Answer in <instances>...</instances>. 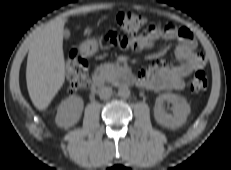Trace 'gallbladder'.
Returning <instances> with one entry per match:
<instances>
[{
	"instance_id": "obj_1",
	"label": "gallbladder",
	"mask_w": 231,
	"mask_h": 170,
	"mask_svg": "<svg viewBox=\"0 0 231 170\" xmlns=\"http://www.w3.org/2000/svg\"><path fill=\"white\" fill-rule=\"evenodd\" d=\"M63 37H64V39H69L70 38V31L69 30H64L63 31Z\"/></svg>"
}]
</instances>
